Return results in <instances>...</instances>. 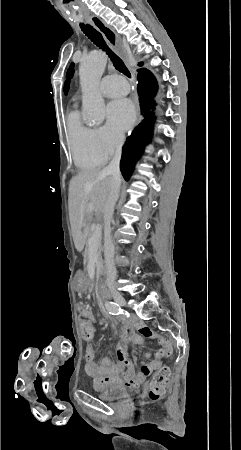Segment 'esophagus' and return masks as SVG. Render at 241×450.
Segmentation results:
<instances>
[{"mask_svg":"<svg viewBox=\"0 0 241 450\" xmlns=\"http://www.w3.org/2000/svg\"><path fill=\"white\" fill-rule=\"evenodd\" d=\"M87 21L89 23H91L97 30H99V32L102 33L103 37L108 42V44L114 50L117 51L118 45H119V36L117 35V33L112 28H110L108 25H106V23H104L103 20H101V18H99L96 15L89 17ZM118 53H119V51H118ZM134 105H135V110L137 113V120H136L135 125H138V123H140V120H141V115H140V106H139V102H138V98H137L136 94H134Z\"/></svg>","mask_w":241,"mask_h":450,"instance_id":"obj_1","label":"esophagus"}]
</instances>
